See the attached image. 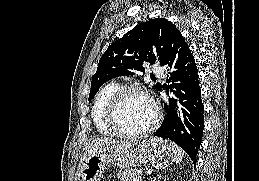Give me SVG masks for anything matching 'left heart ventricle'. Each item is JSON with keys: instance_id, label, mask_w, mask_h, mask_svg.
<instances>
[{"instance_id": "1", "label": "left heart ventricle", "mask_w": 259, "mask_h": 181, "mask_svg": "<svg viewBox=\"0 0 259 181\" xmlns=\"http://www.w3.org/2000/svg\"><path fill=\"white\" fill-rule=\"evenodd\" d=\"M155 111L147 98L140 94L127 95L119 109L118 121L128 131H138L154 119Z\"/></svg>"}]
</instances>
